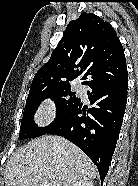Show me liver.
I'll return each instance as SVG.
<instances>
[{"instance_id":"obj_1","label":"liver","mask_w":138,"mask_h":186,"mask_svg":"<svg viewBox=\"0 0 138 186\" xmlns=\"http://www.w3.org/2000/svg\"><path fill=\"white\" fill-rule=\"evenodd\" d=\"M97 168L76 145L58 136H43L21 147L8 161L6 186H72L92 180Z\"/></svg>"}]
</instances>
